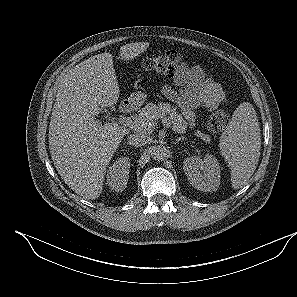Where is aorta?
<instances>
[{
  "label": "aorta",
  "instance_id": "1",
  "mask_svg": "<svg viewBox=\"0 0 297 297\" xmlns=\"http://www.w3.org/2000/svg\"><path fill=\"white\" fill-rule=\"evenodd\" d=\"M152 158L156 161H163L168 158L169 150L165 146H156L152 150Z\"/></svg>",
  "mask_w": 297,
  "mask_h": 297
}]
</instances>
